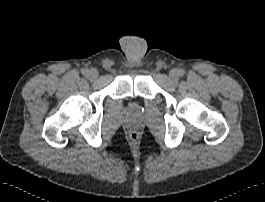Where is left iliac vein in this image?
<instances>
[{
	"mask_svg": "<svg viewBox=\"0 0 265 202\" xmlns=\"http://www.w3.org/2000/svg\"><path fill=\"white\" fill-rule=\"evenodd\" d=\"M169 77L172 81H176L177 80V71L176 70H171L169 73Z\"/></svg>",
	"mask_w": 265,
	"mask_h": 202,
	"instance_id": "1",
	"label": "left iliac vein"
}]
</instances>
